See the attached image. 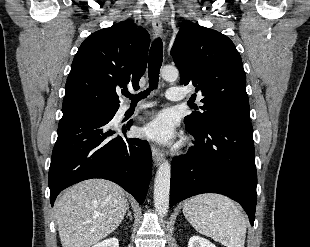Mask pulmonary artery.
<instances>
[{"label":"pulmonary artery","instance_id":"obj_1","mask_svg":"<svg viewBox=\"0 0 310 247\" xmlns=\"http://www.w3.org/2000/svg\"><path fill=\"white\" fill-rule=\"evenodd\" d=\"M166 97L167 99L171 100V101H181L185 98V93L182 91L181 88L179 87H171L167 90L166 92ZM152 104H145V103H139L137 104V106L134 108L135 110H142L145 109L149 106H151ZM131 107L130 105H123L120 108V114L126 112L127 110H129Z\"/></svg>","mask_w":310,"mask_h":247}]
</instances>
